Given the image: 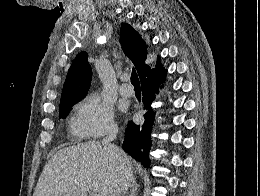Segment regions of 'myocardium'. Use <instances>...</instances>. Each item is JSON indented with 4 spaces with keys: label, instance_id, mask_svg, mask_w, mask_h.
I'll list each match as a JSON object with an SVG mask.
<instances>
[{
    "label": "myocardium",
    "instance_id": "f54148a6",
    "mask_svg": "<svg viewBox=\"0 0 260 196\" xmlns=\"http://www.w3.org/2000/svg\"><path fill=\"white\" fill-rule=\"evenodd\" d=\"M50 192H55V190H50Z\"/></svg>",
    "mask_w": 260,
    "mask_h": 196
}]
</instances>
